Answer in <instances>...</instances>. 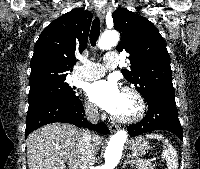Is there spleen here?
Listing matches in <instances>:
<instances>
[{
	"mask_svg": "<svg viewBox=\"0 0 200 169\" xmlns=\"http://www.w3.org/2000/svg\"><path fill=\"white\" fill-rule=\"evenodd\" d=\"M146 137L163 140L164 149L162 156L166 160L168 169H178V156L175 148L169 143L168 140H164V137L160 134H147Z\"/></svg>",
	"mask_w": 200,
	"mask_h": 169,
	"instance_id": "spleen-1",
	"label": "spleen"
}]
</instances>
